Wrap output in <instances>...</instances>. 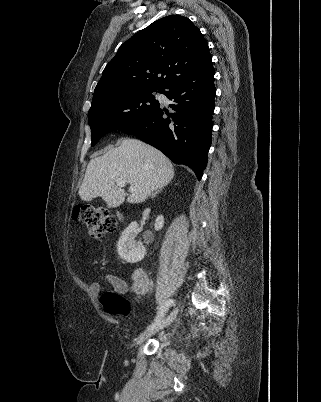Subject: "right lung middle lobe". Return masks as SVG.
<instances>
[{
	"instance_id": "dd1d6c3e",
	"label": "right lung middle lobe",
	"mask_w": 321,
	"mask_h": 402,
	"mask_svg": "<svg viewBox=\"0 0 321 402\" xmlns=\"http://www.w3.org/2000/svg\"><path fill=\"white\" fill-rule=\"evenodd\" d=\"M163 89L136 91L106 99L92 105L89 110V125L94 146L105 134L134 123L154 112L159 106L154 92Z\"/></svg>"
}]
</instances>
